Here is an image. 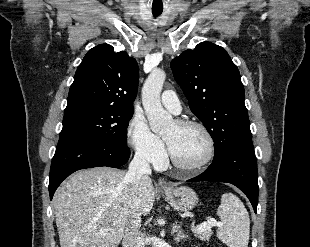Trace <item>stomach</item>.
Segmentation results:
<instances>
[{"mask_svg":"<svg viewBox=\"0 0 310 247\" xmlns=\"http://www.w3.org/2000/svg\"><path fill=\"white\" fill-rule=\"evenodd\" d=\"M165 200L177 211L187 212L198 203L197 194L189 187L181 186L162 191Z\"/></svg>","mask_w":310,"mask_h":247,"instance_id":"1","label":"stomach"}]
</instances>
